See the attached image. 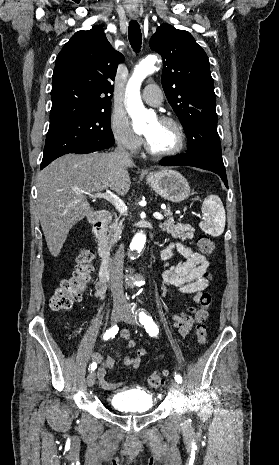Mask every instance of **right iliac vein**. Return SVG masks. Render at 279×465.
Here are the masks:
<instances>
[{"label":"right iliac vein","instance_id":"obj_1","mask_svg":"<svg viewBox=\"0 0 279 465\" xmlns=\"http://www.w3.org/2000/svg\"><path fill=\"white\" fill-rule=\"evenodd\" d=\"M123 315V309L119 308V307H116L112 310V313H111V317H110V320H111V324H116L119 319L122 317ZM96 382V373L94 371H91L88 376H87V384L89 387H92Z\"/></svg>","mask_w":279,"mask_h":465}]
</instances>
